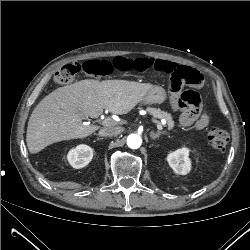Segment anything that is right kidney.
Returning <instances> with one entry per match:
<instances>
[{
    "instance_id": "obj_1",
    "label": "right kidney",
    "mask_w": 250,
    "mask_h": 250,
    "mask_svg": "<svg viewBox=\"0 0 250 250\" xmlns=\"http://www.w3.org/2000/svg\"><path fill=\"white\" fill-rule=\"evenodd\" d=\"M93 158V149L87 145H79L69 151L67 159L73 168H83L89 164Z\"/></svg>"
}]
</instances>
